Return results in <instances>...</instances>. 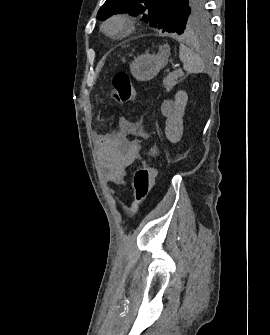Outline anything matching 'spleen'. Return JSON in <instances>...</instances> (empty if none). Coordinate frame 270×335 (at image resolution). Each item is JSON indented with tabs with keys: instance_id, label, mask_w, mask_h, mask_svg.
<instances>
[{
	"instance_id": "spleen-1",
	"label": "spleen",
	"mask_w": 270,
	"mask_h": 335,
	"mask_svg": "<svg viewBox=\"0 0 270 335\" xmlns=\"http://www.w3.org/2000/svg\"><path fill=\"white\" fill-rule=\"evenodd\" d=\"M179 40L183 42L181 38H179ZM179 58L181 62H183V68L187 74H200V72H203L204 62L201 56L192 52V50L184 46V44H180Z\"/></svg>"
}]
</instances>
